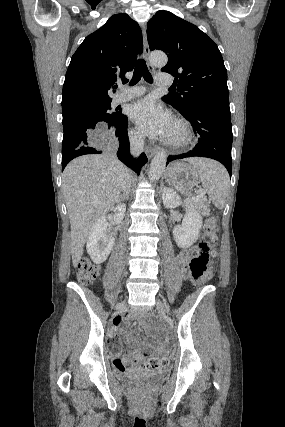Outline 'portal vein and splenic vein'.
I'll return each mask as SVG.
<instances>
[{"label": "portal vein and splenic vein", "instance_id": "portal-vein-and-splenic-vein-1", "mask_svg": "<svg viewBox=\"0 0 285 427\" xmlns=\"http://www.w3.org/2000/svg\"><path fill=\"white\" fill-rule=\"evenodd\" d=\"M204 195H205V192L201 190V191H199L198 195H196V196H192V197L190 198V201L199 200V199L203 198V197H204Z\"/></svg>", "mask_w": 285, "mask_h": 427}]
</instances>
